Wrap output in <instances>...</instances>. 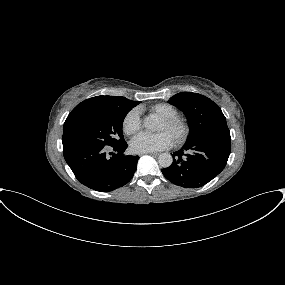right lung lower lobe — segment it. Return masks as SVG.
I'll list each match as a JSON object with an SVG mask.
<instances>
[{
    "mask_svg": "<svg viewBox=\"0 0 285 285\" xmlns=\"http://www.w3.org/2000/svg\"><path fill=\"white\" fill-rule=\"evenodd\" d=\"M127 143L113 147L77 144L63 146L64 158L74 175L85 186L110 192L127 184L137 169L139 156L124 155ZM116 153L108 157L106 152Z\"/></svg>",
    "mask_w": 285,
    "mask_h": 285,
    "instance_id": "obj_1",
    "label": "right lung lower lobe"
}]
</instances>
